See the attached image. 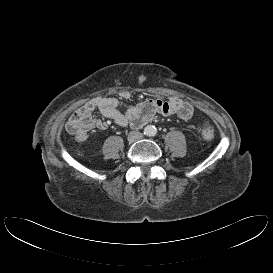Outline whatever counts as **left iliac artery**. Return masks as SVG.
Here are the masks:
<instances>
[{
  "mask_svg": "<svg viewBox=\"0 0 273 273\" xmlns=\"http://www.w3.org/2000/svg\"><path fill=\"white\" fill-rule=\"evenodd\" d=\"M155 135H156V132L153 133V136H155Z\"/></svg>",
  "mask_w": 273,
  "mask_h": 273,
  "instance_id": "1",
  "label": "left iliac artery"
}]
</instances>
